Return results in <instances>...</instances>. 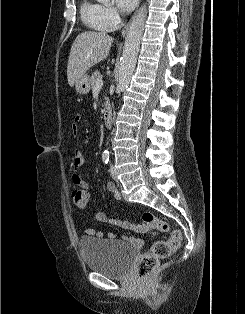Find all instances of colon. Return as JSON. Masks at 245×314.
I'll return each instance as SVG.
<instances>
[{"instance_id":"obj_1","label":"colon","mask_w":245,"mask_h":314,"mask_svg":"<svg viewBox=\"0 0 245 314\" xmlns=\"http://www.w3.org/2000/svg\"><path fill=\"white\" fill-rule=\"evenodd\" d=\"M72 202L79 208H85L89 202V192L86 189H76L71 195ZM131 227L135 228V224L131 223ZM140 229L144 232H167L169 225L166 221L161 220L151 212L142 214V225ZM182 234L175 230L171 232L167 240L155 241L150 250L145 253L137 265V272L140 278H145L154 271L159 260L170 257L181 245Z\"/></svg>"}]
</instances>
